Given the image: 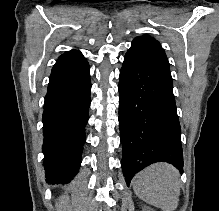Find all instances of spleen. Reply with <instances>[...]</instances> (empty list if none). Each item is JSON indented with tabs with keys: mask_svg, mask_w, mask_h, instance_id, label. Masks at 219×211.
<instances>
[{
	"mask_svg": "<svg viewBox=\"0 0 219 211\" xmlns=\"http://www.w3.org/2000/svg\"><path fill=\"white\" fill-rule=\"evenodd\" d=\"M178 169L171 163H152L133 177V189L143 201L174 211L178 205L180 187Z\"/></svg>",
	"mask_w": 219,
	"mask_h": 211,
	"instance_id": "1",
	"label": "spleen"
}]
</instances>
